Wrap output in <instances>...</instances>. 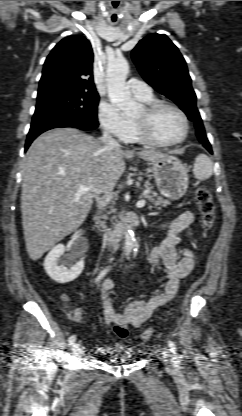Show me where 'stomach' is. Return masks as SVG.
Wrapping results in <instances>:
<instances>
[{
  "instance_id": "obj_1",
  "label": "stomach",
  "mask_w": 242,
  "mask_h": 416,
  "mask_svg": "<svg viewBox=\"0 0 242 416\" xmlns=\"http://www.w3.org/2000/svg\"><path fill=\"white\" fill-rule=\"evenodd\" d=\"M161 195L171 200L180 199L188 188V171L175 156H165L149 163Z\"/></svg>"
}]
</instances>
